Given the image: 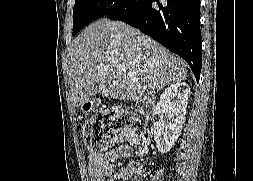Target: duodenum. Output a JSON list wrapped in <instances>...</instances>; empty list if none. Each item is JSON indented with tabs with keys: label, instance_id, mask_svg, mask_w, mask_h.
<instances>
[{
	"label": "duodenum",
	"instance_id": "obj_1",
	"mask_svg": "<svg viewBox=\"0 0 253 181\" xmlns=\"http://www.w3.org/2000/svg\"><path fill=\"white\" fill-rule=\"evenodd\" d=\"M139 113L147 120L154 119V102L152 100H145L138 106Z\"/></svg>",
	"mask_w": 253,
	"mask_h": 181
}]
</instances>
